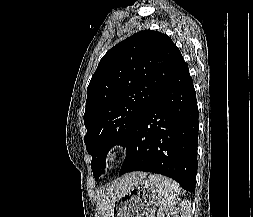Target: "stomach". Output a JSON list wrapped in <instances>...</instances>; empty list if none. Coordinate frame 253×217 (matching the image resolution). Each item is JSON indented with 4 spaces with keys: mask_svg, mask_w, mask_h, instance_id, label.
I'll use <instances>...</instances> for the list:
<instances>
[{
    "mask_svg": "<svg viewBox=\"0 0 253 217\" xmlns=\"http://www.w3.org/2000/svg\"><path fill=\"white\" fill-rule=\"evenodd\" d=\"M157 205L156 187L141 178L114 201L109 217H153Z\"/></svg>",
    "mask_w": 253,
    "mask_h": 217,
    "instance_id": "obj_1",
    "label": "stomach"
}]
</instances>
